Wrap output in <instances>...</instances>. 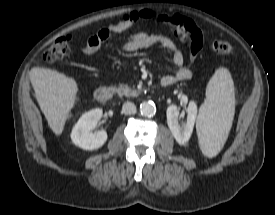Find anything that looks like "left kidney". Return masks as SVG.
<instances>
[{
  "label": "left kidney",
  "mask_w": 275,
  "mask_h": 215,
  "mask_svg": "<svg viewBox=\"0 0 275 215\" xmlns=\"http://www.w3.org/2000/svg\"><path fill=\"white\" fill-rule=\"evenodd\" d=\"M187 121L184 124H179V110L176 105H170L167 108V123L175 140L183 145L188 142L193 132L195 119L197 116V105L191 101L187 107Z\"/></svg>",
  "instance_id": "5707ae66"
}]
</instances>
